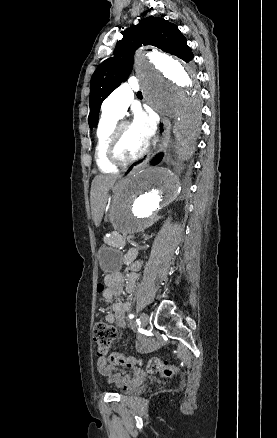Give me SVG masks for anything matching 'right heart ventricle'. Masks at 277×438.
<instances>
[{"label": "right heart ventricle", "mask_w": 277, "mask_h": 438, "mask_svg": "<svg viewBox=\"0 0 277 438\" xmlns=\"http://www.w3.org/2000/svg\"><path fill=\"white\" fill-rule=\"evenodd\" d=\"M117 123V119L102 115L97 129L96 161L99 169L104 173H115L118 166L112 164L107 157V144L110 134Z\"/></svg>", "instance_id": "right-heart-ventricle-1"}]
</instances>
